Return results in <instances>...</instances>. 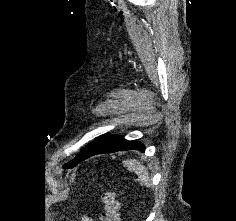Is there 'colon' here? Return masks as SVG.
Segmentation results:
<instances>
[{
    "label": "colon",
    "mask_w": 236,
    "mask_h": 221,
    "mask_svg": "<svg viewBox=\"0 0 236 221\" xmlns=\"http://www.w3.org/2000/svg\"><path fill=\"white\" fill-rule=\"evenodd\" d=\"M103 211L100 221H120L119 201L113 190L106 191L101 196Z\"/></svg>",
    "instance_id": "obj_1"
}]
</instances>
